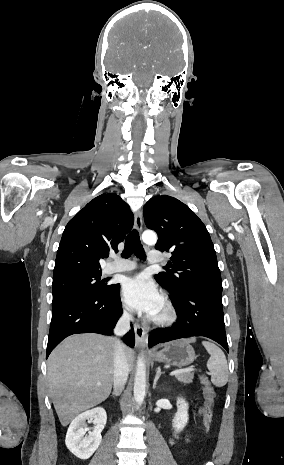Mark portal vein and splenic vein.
<instances>
[{
	"mask_svg": "<svg viewBox=\"0 0 284 465\" xmlns=\"http://www.w3.org/2000/svg\"><path fill=\"white\" fill-rule=\"evenodd\" d=\"M188 371H193V369H179V371H172L170 375H179V373H188Z\"/></svg>",
	"mask_w": 284,
	"mask_h": 465,
	"instance_id": "portal-vein-and-splenic-vein-1",
	"label": "portal vein and splenic vein"
}]
</instances>
